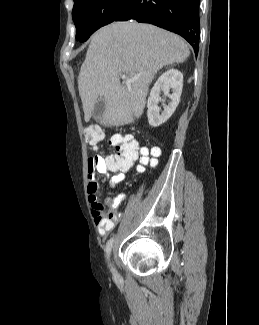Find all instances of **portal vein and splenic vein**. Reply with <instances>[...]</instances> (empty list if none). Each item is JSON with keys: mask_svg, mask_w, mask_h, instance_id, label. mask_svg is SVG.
Masks as SVG:
<instances>
[{"mask_svg": "<svg viewBox=\"0 0 259 325\" xmlns=\"http://www.w3.org/2000/svg\"><path fill=\"white\" fill-rule=\"evenodd\" d=\"M121 79L125 81L126 84L132 83L135 79H129L126 75H122Z\"/></svg>", "mask_w": 259, "mask_h": 325, "instance_id": "obj_1", "label": "portal vein and splenic vein"}]
</instances>
